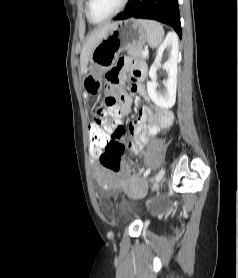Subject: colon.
I'll return each mask as SVG.
<instances>
[{"label": "colon", "instance_id": "1", "mask_svg": "<svg viewBox=\"0 0 238 278\" xmlns=\"http://www.w3.org/2000/svg\"><path fill=\"white\" fill-rule=\"evenodd\" d=\"M110 84V81H108ZM106 106L105 110H100L98 115L106 116L109 118L108 124H88V135H92L87 138L90 142L91 156H100V163L105 168L114 173L119 171L121 156L126 149V144L123 142L124 137H118L122 139L119 144H110L109 137L112 136V128L118 126V112L119 105L117 99L112 95L111 98L106 96L104 100ZM113 137V136H112Z\"/></svg>", "mask_w": 238, "mask_h": 278}]
</instances>
